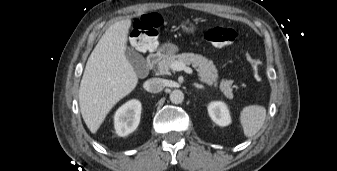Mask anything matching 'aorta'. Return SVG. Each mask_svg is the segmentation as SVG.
<instances>
[{
  "instance_id": "obj_1",
  "label": "aorta",
  "mask_w": 337,
  "mask_h": 171,
  "mask_svg": "<svg viewBox=\"0 0 337 171\" xmlns=\"http://www.w3.org/2000/svg\"><path fill=\"white\" fill-rule=\"evenodd\" d=\"M169 98L173 104H180L184 100V94L181 90H173L170 93Z\"/></svg>"
}]
</instances>
